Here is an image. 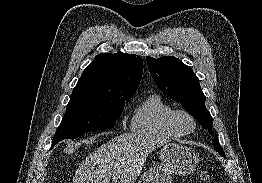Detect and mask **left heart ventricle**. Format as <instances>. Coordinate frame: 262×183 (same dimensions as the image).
Wrapping results in <instances>:
<instances>
[{"label": "left heart ventricle", "instance_id": "1", "mask_svg": "<svg viewBox=\"0 0 262 183\" xmlns=\"http://www.w3.org/2000/svg\"><path fill=\"white\" fill-rule=\"evenodd\" d=\"M182 125L186 130H190L192 128V123L187 118L182 119Z\"/></svg>", "mask_w": 262, "mask_h": 183}]
</instances>
